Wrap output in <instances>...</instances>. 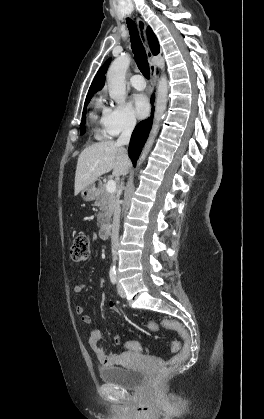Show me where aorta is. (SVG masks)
<instances>
[{
    "label": "aorta",
    "mask_w": 264,
    "mask_h": 419,
    "mask_svg": "<svg viewBox=\"0 0 264 419\" xmlns=\"http://www.w3.org/2000/svg\"><path fill=\"white\" fill-rule=\"evenodd\" d=\"M130 57L128 55H122L117 57L112 64L110 65L107 71V85L109 89V94L112 99L116 102H123L125 100V74L130 64ZM168 97V82L165 76H161L157 86V97H156V107L154 114L153 127L148 138V141L143 149V152L140 156L139 163L140 165L143 160L146 158L150 148L155 140V137L158 133L160 122L163 119L164 112L166 110Z\"/></svg>",
    "instance_id": "762f6f07"
}]
</instances>
